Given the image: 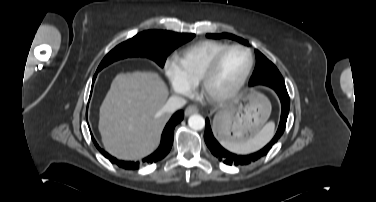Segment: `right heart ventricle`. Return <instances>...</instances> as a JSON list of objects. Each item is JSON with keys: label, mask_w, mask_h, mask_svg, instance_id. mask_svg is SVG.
<instances>
[{"label": "right heart ventricle", "mask_w": 376, "mask_h": 202, "mask_svg": "<svg viewBox=\"0 0 376 202\" xmlns=\"http://www.w3.org/2000/svg\"><path fill=\"white\" fill-rule=\"evenodd\" d=\"M229 44L206 40L180 51L174 58L183 80L191 87L196 86L208 64Z\"/></svg>", "instance_id": "obj_1"}]
</instances>
